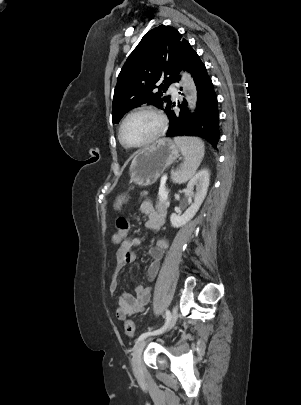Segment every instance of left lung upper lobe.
<instances>
[{
    "mask_svg": "<svg viewBox=\"0 0 301 405\" xmlns=\"http://www.w3.org/2000/svg\"><path fill=\"white\" fill-rule=\"evenodd\" d=\"M195 51L175 29L160 25L147 32L126 60L117 80L113 98V124L130 109L154 105L166 113L172 102L164 97L169 85L180 80ZM161 83L156 86V83ZM167 103V104H166Z\"/></svg>",
    "mask_w": 301,
    "mask_h": 405,
    "instance_id": "1",
    "label": "left lung upper lobe"
}]
</instances>
